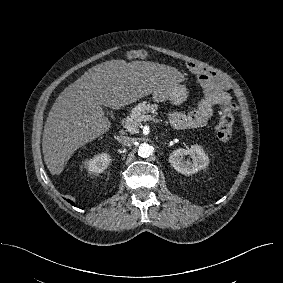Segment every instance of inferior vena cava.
I'll return each instance as SVG.
<instances>
[{
  "label": "inferior vena cava",
  "instance_id": "602c4592",
  "mask_svg": "<svg viewBox=\"0 0 283 283\" xmlns=\"http://www.w3.org/2000/svg\"><path fill=\"white\" fill-rule=\"evenodd\" d=\"M117 140L123 145L128 146L132 143V139L127 136H117Z\"/></svg>",
  "mask_w": 283,
  "mask_h": 283
}]
</instances>
